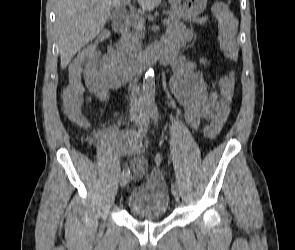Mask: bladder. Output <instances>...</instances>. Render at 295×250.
Segmentation results:
<instances>
[{"label":"bladder","instance_id":"obj_1","mask_svg":"<svg viewBox=\"0 0 295 250\" xmlns=\"http://www.w3.org/2000/svg\"><path fill=\"white\" fill-rule=\"evenodd\" d=\"M169 207L168 186L159 170L149 173L133 187L126 204L133 217L150 221L166 218Z\"/></svg>","mask_w":295,"mask_h":250}]
</instances>
